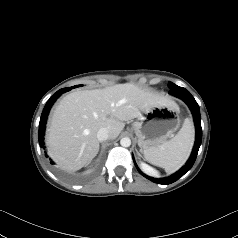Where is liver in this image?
I'll return each mask as SVG.
<instances>
[{
    "label": "liver",
    "mask_w": 238,
    "mask_h": 238,
    "mask_svg": "<svg viewBox=\"0 0 238 238\" xmlns=\"http://www.w3.org/2000/svg\"><path fill=\"white\" fill-rule=\"evenodd\" d=\"M157 105H176L169 98L130 83L72 92L56 106L47 134L48 153L64 170L77 171L99 151L97 132L107 128L115 139L124 121Z\"/></svg>",
    "instance_id": "liver-1"
}]
</instances>
